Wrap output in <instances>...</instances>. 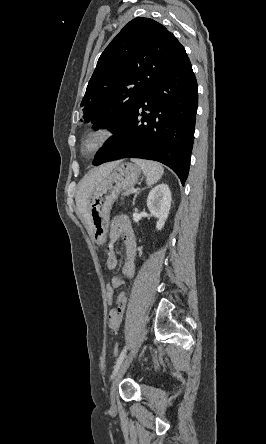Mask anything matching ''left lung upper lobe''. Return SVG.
Here are the masks:
<instances>
[{
    "instance_id": "obj_1",
    "label": "left lung upper lobe",
    "mask_w": 266,
    "mask_h": 444,
    "mask_svg": "<svg viewBox=\"0 0 266 444\" xmlns=\"http://www.w3.org/2000/svg\"><path fill=\"white\" fill-rule=\"evenodd\" d=\"M185 55L162 24L143 17L131 20L98 60L81 102L84 120L116 130Z\"/></svg>"
}]
</instances>
